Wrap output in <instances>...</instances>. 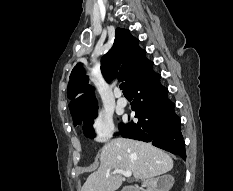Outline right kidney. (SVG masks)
<instances>
[{"label":"right kidney","mask_w":233,"mask_h":191,"mask_svg":"<svg viewBox=\"0 0 233 191\" xmlns=\"http://www.w3.org/2000/svg\"><path fill=\"white\" fill-rule=\"evenodd\" d=\"M174 184V177L170 174H165L163 176L152 179L148 186L149 191H169Z\"/></svg>","instance_id":"obj_1"}]
</instances>
